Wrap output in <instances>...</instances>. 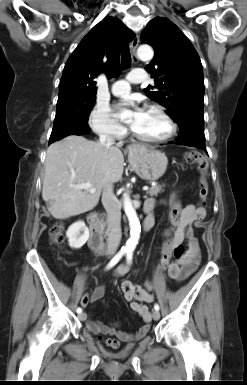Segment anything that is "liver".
<instances>
[{"label":"liver","mask_w":247,"mask_h":385,"mask_svg":"<svg viewBox=\"0 0 247 385\" xmlns=\"http://www.w3.org/2000/svg\"><path fill=\"white\" fill-rule=\"evenodd\" d=\"M123 169L119 148H106L79 135L66 136L47 149L42 198L55 219L80 215L96 207L102 190L118 182ZM87 182L94 193L73 187Z\"/></svg>","instance_id":"6515ba94"}]
</instances>
